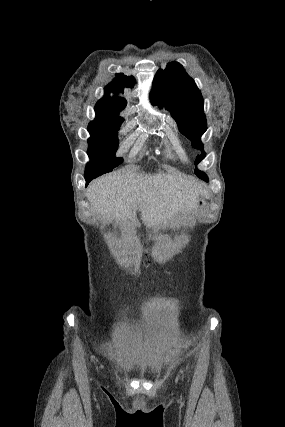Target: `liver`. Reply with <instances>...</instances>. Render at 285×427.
<instances>
[{
    "label": "liver",
    "instance_id": "obj_1",
    "mask_svg": "<svg viewBox=\"0 0 285 427\" xmlns=\"http://www.w3.org/2000/svg\"><path fill=\"white\" fill-rule=\"evenodd\" d=\"M86 195L94 210L104 217L133 225L139 209L143 223L151 227L196 210L206 190L192 179L173 174L122 173L94 180Z\"/></svg>",
    "mask_w": 285,
    "mask_h": 427
}]
</instances>
